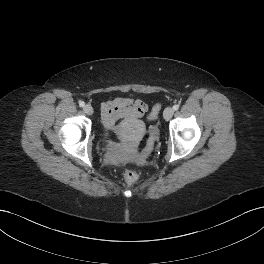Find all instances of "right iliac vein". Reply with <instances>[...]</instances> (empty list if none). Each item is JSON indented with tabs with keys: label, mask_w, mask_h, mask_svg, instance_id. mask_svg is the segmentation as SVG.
Here are the masks:
<instances>
[{
	"label": "right iliac vein",
	"mask_w": 264,
	"mask_h": 264,
	"mask_svg": "<svg viewBox=\"0 0 264 264\" xmlns=\"http://www.w3.org/2000/svg\"><path fill=\"white\" fill-rule=\"evenodd\" d=\"M84 112L88 115H91L93 114V108L91 105H85L84 108H83Z\"/></svg>",
	"instance_id": "obj_1"
}]
</instances>
